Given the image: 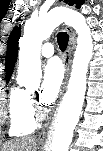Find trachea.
Listing matches in <instances>:
<instances>
[{
	"mask_svg": "<svg viewBox=\"0 0 103 151\" xmlns=\"http://www.w3.org/2000/svg\"><path fill=\"white\" fill-rule=\"evenodd\" d=\"M68 40L69 38H68L67 33L60 32L57 35V41H58V45L61 51H64L66 49Z\"/></svg>",
	"mask_w": 103,
	"mask_h": 151,
	"instance_id": "obj_1",
	"label": "trachea"
}]
</instances>
